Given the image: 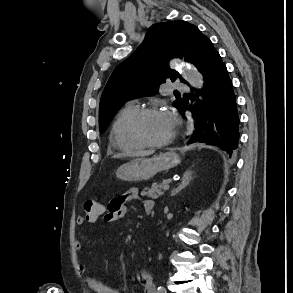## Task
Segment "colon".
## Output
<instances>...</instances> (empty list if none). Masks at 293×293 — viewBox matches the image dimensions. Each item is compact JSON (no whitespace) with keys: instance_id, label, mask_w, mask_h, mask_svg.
I'll list each match as a JSON object with an SVG mask.
<instances>
[{"instance_id":"obj_1","label":"colon","mask_w":293,"mask_h":293,"mask_svg":"<svg viewBox=\"0 0 293 293\" xmlns=\"http://www.w3.org/2000/svg\"><path fill=\"white\" fill-rule=\"evenodd\" d=\"M104 211V206L97 198H90L84 203V215L88 221H96Z\"/></svg>"}]
</instances>
